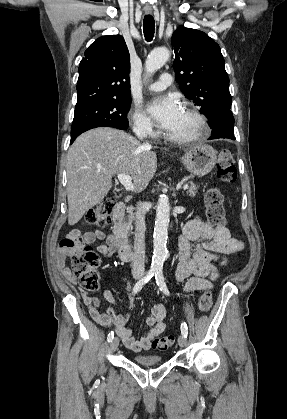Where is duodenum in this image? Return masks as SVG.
<instances>
[{
    "instance_id": "1",
    "label": "duodenum",
    "mask_w": 287,
    "mask_h": 419,
    "mask_svg": "<svg viewBox=\"0 0 287 419\" xmlns=\"http://www.w3.org/2000/svg\"><path fill=\"white\" fill-rule=\"evenodd\" d=\"M125 210V202L119 201L115 204L113 210V232L120 242V258L123 261H131L134 258V251L129 244L127 233L123 225Z\"/></svg>"
}]
</instances>
